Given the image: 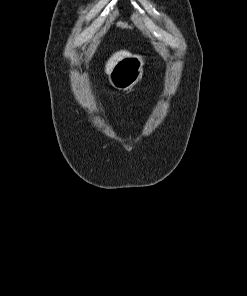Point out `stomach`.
I'll use <instances>...</instances> for the list:
<instances>
[{
	"mask_svg": "<svg viewBox=\"0 0 247 296\" xmlns=\"http://www.w3.org/2000/svg\"><path fill=\"white\" fill-rule=\"evenodd\" d=\"M144 61L139 55H129L119 60L108 73L109 84L118 90L132 89L143 75Z\"/></svg>",
	"mask_w": 247,
	"mask_h": 296,
	"instance_id": "0dacf381",
	"label": "stomach"
}]
</instances>
